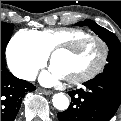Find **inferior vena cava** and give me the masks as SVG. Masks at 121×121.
I'll return each instance as SVG.
<instances>
[{
    "mask_svg": "<svg viewBox=\"0 0 121 121\" xmlns=\"http://www.w3.org/2000/svg\"><path fill=\"white\" fill-rule=\"evenodd\" d=\"M19 77L22 78V79H26V80H29V81H33L36 78V73L35 72L21 73L19 75Z\"/></svg>",
    "mask_w": 121,
    "mask_h": 121,
    "instance_id": "1",
    "label": "inferior vena cava"
}]
</instances>
